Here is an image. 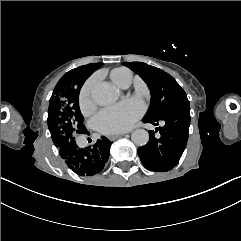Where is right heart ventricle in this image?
I'll return each mask as SVG.
<instances>
[{"label": "right heart ventricle", "mask_w": 241, "mask_h": 241, "mask_svg": "<svg viewBox=\"0 0 241 241\" xmlns=\"http://www.w3.org/2000/svg\"><path fill=\"white\" fill-rule=\"evenodd\" d=\"M112 81L120 87H128L130 85L132 74L126 68H115L111 74Z\"/></svg>", "instance_id": "1"}]
</instances>
